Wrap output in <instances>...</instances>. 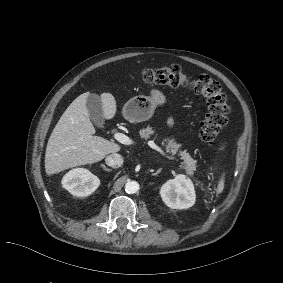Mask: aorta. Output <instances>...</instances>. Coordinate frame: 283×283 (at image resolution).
Wrapping results in <instances>:
<instances>
[{
    "instance_id": "aorta-1",
    "label": "aorta",
    "mask_w": 283,
    "mask_h": 283,
    "mask_svg": "<svg viewBox=\"0 0 283 283\" xmlns=\"http://www.w3.org/2000/svg\"><path fill=\"white\" fill-rule=\"evenodd\" d=\"M139 190V184L136 181H128L125 184V191L129 194H134Z\"/></svg>"
}]
</instances>
